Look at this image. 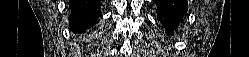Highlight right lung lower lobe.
I'll return each mask as SVG.
<instances>
[{"instance_id":"obj_1","label":"right lung lower lobe","mask_w":249,"mask_h":57,"mask_svg":"<svg viewBox=\"0 0 249 57\" xmlns=\"http://www.w3.org/2000/svg\"><path fill=\"white\" fill-rule=\"evenodd\" d=\"M100 0H73L69 3L71 8L70 27L75 33L85 32L87 27L97 23L102 17Z\"/></svg>"}]
</instances>
